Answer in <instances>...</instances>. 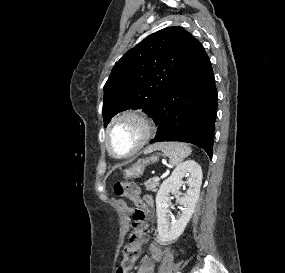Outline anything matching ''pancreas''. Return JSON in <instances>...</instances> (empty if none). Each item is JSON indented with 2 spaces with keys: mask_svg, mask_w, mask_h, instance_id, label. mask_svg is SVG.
<instances>
[{
  "mask_svg": "<svg viewBox=\"0 0 285 273\" xmlns=\"http://www.w3.org/2000/svg\"><path fill=\"white\" fill-rule=\"evenodd\" d=\"M146 189L148 191L156 192L157 186H159V180L149 179L147 182H145Z\"/></svg>",
  "mask_w": 285,
  "mask_h": 273,
  "instance_id": "cf45deb5",
  "label": "pancreas"
}]
</instances>
